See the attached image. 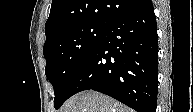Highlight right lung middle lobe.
<instances>
[{"label":"right lung middle lobe","mask_w":193,"mask_h":112,"mask_svg":"<svg viewBox=\"0 0 193 112\" xmlns=\"http://www.w3.org/2000/svg\"><path fill=\"white\" fill-rule=\"evenodd\" d=\"M106 29L98 23H79L62 29L45 42V74L54 88L55 109L70 97L75 79Z\"/></svg>","instance_id":"1"}]
</instances>
